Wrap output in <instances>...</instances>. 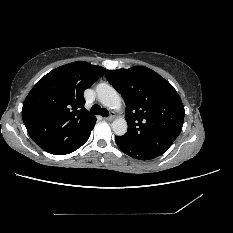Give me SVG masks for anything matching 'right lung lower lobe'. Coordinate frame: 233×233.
<instances>
[{
    "label": "right lung lower lobe",
    "instance_id": "1",
    "mask_svg": "<svg viewBox=\"0 0 233 233\" xmlns=\"http://www.w3.org/2000/svg\"><path fill=\"white\" fill-rule=\"evenodd\" d=\"M89 136H90V135H89ZM89 136H88V138H89ZM88 138L85 140V142L88 140ZM85 142H84V143H85ZM84 143H83V144H84ZM83 144H82V145H83ZM82 145H81V146H82ZM81 146H80V147H81Z\"/></svg>",
    "mask_w": 233,
    "mask_h": 233
}]
</instances>
